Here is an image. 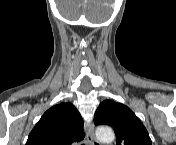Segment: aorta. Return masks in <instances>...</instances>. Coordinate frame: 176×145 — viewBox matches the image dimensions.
I'll list each match as a JSON object with an SVG mask.
<instances>
[{"label": "aorta", "mask_w": 176, "mask_h": 145, "mask_svg": "<svg viewBox=\"0 0 176 145\" xmlns=\"http://www.w3.org/2000/svg\"><path fill=\"white\" fill-rule=\"evenodd\" d=\"M96 137L102 143H111L115 139L114 132L109 127H98L96 129Z\"/></svg>", "instance_id": "aorta-1"}]
</instances>
